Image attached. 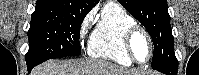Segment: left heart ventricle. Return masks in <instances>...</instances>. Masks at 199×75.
Here are the masks:
<instances>
[{"mask_svg":"<svg viewBox=\"0 0 199 75\" xmlns=\"http://www.w3.org/2000/svg\"><path fill=\"white\" fill-rule=\"evenodd\" d=\"M132 50L138 61L144 62L147 60L150 47L148 40L141 33H137L132 40Z\"/></svg>","mask_w":199,"mask_h":75,"instance_id":"left-heart-ventricle-1","label":"left heart ventricle"}]
</instances>
